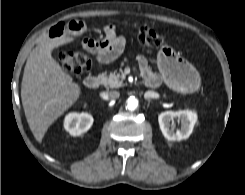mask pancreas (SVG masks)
Instances as JSON below:
<instances>
[{
  "label": "pancreas",
  "instance_id": "obj_1",
  "mask_svg": "<svg viewBox=\"0 0 245 195\" xmlns=\"http://www.w3.org/2000/svg\"><path fill=\"white\" fill-rule=\"evenodd\" d=\"M102 83L106 88H119L123 86L120 74L116 73H110L108 77L104 76Z\"/></svg>",
  "mask_w": 245,
  "mask_h": 195
}]
</instances>
